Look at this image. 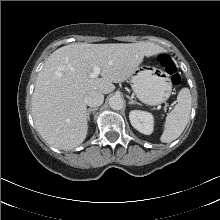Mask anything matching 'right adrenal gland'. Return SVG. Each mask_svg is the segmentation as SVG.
<instances>
[{
  "mask_svg": "<svg viewBox=\"0 0 220 220\" xmlns=\"http://www.w3.org/2000/svg\"><path fill=\"white\" fill-rule=\"evenodd\" d=\"M97 110V108H90L87 110V119L89 120L90 119V113L91 112H95Z\"/></svg>",
  "mask_w": 220,
  "mask_h": 220,
  "instance_id": "right-adrenal-gland-1",
  "label": "right adrenal gland"
}]
</instances>
